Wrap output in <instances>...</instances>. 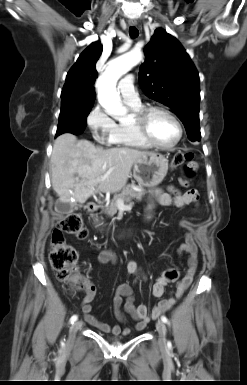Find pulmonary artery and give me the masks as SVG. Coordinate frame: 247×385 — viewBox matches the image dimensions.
I'll return each instance as SVG.
<instances>
[{
	"mask_svg": "<svg viewBox=\"0 0 247 385\" xmlns=\"http://www.w3.org/2000/svg\"><path fill=\"white\" fill-rule=\"evenodd\" d=\"M119 91L128 105H140L138 92L133 85V76L127 75L119 83Z\"/></svg>",
	"mask_w": 247,
	"mask_h": 385,
	"instance_id": "obj_1",
	"label": "pulmonary artery"
}]
</instances>
